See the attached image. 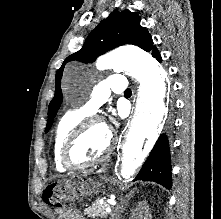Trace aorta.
<instances>
[{
  "instance_id": "obj_1",
  "label": "aorta",
  "mask_w": 221,
  "mask_h": 219,
  "mask_svg": "<svg viewBox=\"0 0 221 219\" xmlns=\"http://www.w3.org/2000/svg\"><path fill=\"white\" fill-rule=\"evenodd\" d=\"M96 66L99 70H124L133 74L140 82L136 111L122 146L118 166L119 175L123 179H129L149 154L158 136V127L166 118L167 76L155 58L134 46L120 47L100 57ZM78 75L76 67L66 68L63 75L64 86L69 87ZM145 138L147 142L143 148Z\"/></svg>"
}]
</instances>
